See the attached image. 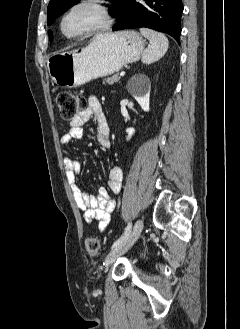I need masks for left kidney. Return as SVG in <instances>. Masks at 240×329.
I'll return each instance as SVG.
<instances>
[{
    "mask_svg": "<svg viewBox=\"0 0 240 329\" xmlns=\"http://www.w3.org/2000/svg\"><path fill=\"white\" fill-rule=\"evenodd\" d=\"M136 82L141 83V88L137 89L134 87ZM150 87V80L144 74L134 75L127 85L128 91L136 99V101L139 103V105L145 112H148L150 109ZM126 132L128 134L126 139L130 140L135 133V129L128 128L126 129Z\"/></svg>",
    "mask_w": 240,
    "mask_h": 329,
    "instance_id": "obj_1",
    "label": "left kidney"
}]
</instances>
